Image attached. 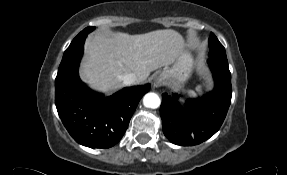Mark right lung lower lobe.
Segmentation results:
<instances>
[{"mask_svg": "<svg viewBox=\"0 0 287 175\" xmlns=\"http://www.w3.org/2000/svg\"><path fill=\"white\" fill-rule=\"evenodd\" d=\"M87 34L65 51L55 80V104L62 123L81 145L109 148L123 137L150 84L127 87L110 97L90 90L79 79L78 66Z\"/></svg>", "mask_w": 287, "mask_h": 175, "instance_id": "1", "label": "right lung lower lobe"}]
</instances>
